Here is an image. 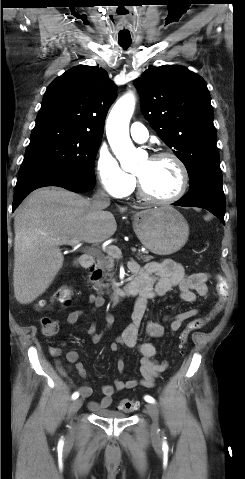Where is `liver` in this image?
Returning a JSON list of instances; mask_svg holds the SVG:
<instances>
[{"label":"liver","instance_id":"6515ba94","mask_svg":"<svg viewBox=\"0 0 245 479\" xmlns=\"http://www.w3.org/2000/svg\"><path fill=\"white\" fill-rule=\"evenodd\" d=\"M106 207L58 187L27 197L14 217L13 281L19 303H32L51 285L63 266L60 245L71 239L100 243L115 233V218Z\"/></svg>","mask_w":245,"mask_h":479}]
</instances>
